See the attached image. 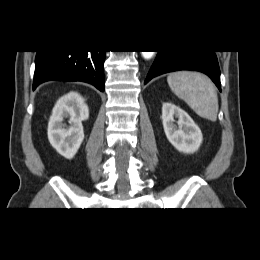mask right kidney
Masks as SVG:
<instances>
[{"mask_svg": "<svg viewBox=\"0 0 260 260\" xmlns=\"http://www.w3.org/2000/svg\"><path fill=\"white\" fill-rule=\"evenodd\" d=\"M67 117L70 126L63 124ZM88 117V107L80 94L70 92L57 101L48 123V139L60 155L67 159L75 156L84 139L82 121Z\"/></svg>", "mask_w": 260, "mask_h": 260, "instance_id": "obj_1", "label": "right kidney"}]
</instances>
